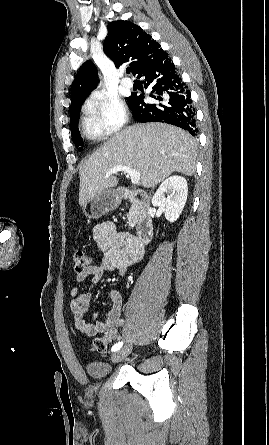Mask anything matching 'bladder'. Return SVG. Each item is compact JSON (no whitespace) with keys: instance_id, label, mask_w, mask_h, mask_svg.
Returning <instances> with one entry per match:
<instances>
[{"instance_id":"1","label":"bladder","mask_w":269,"mask_h":445,"mask_svg":"<svg viewBox=\"0 0 269 445\" xmlns=\"http://www.w3.org/2000/svg\"><path fill=\"white\" fill-rule=\"evenodd\" d=\"M85 371L90 377L100 379L106 377L111 369L107 363L95 361L87 363L85 365Z\"/></svg>"}]
</instances>
